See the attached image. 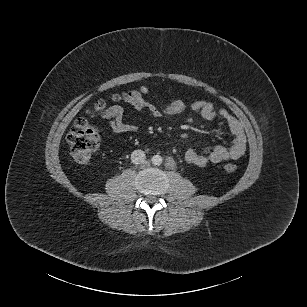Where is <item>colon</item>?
Wrapping results in <instances>:
<instances>
[{"label": "colon", "mask_w": 307, "mask_h": 307, "mask_svg": "<svg viewBox=\"0 0 307 307\" xmlns=\"http://www.w3.org/2000/svg\"><path fill=\"white\" fill-rule=\"evenodd\" d=\"M120 96H114L113 101H120ZM108 108L104 100H98L94 106L87 111L90 117L102 115ZM67 142L70 146V153L73 159L80 163H88L99 151L101 146V132L99 128L89 123L87 119L77 120L67 134ZM224 170L227 173H234L236 165L226 164Z\"/></svg>", "instance_id": "5ec220e1"}]
</instances>
